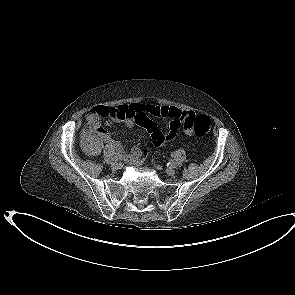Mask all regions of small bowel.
I'll use <instances>...</instances> for the list:
<instances>
[{"instance_id": "1", "label": "small bowel", "mask_w": 295, "mask_h": 295, "mask_svg": "<svg viewBox=\"0 0 295 295\" xmlns=\"http://www.w3.org/2000/svg\"><path fill=\"white\" fill-rule=\"evenodd\" d=\"M191 115H194V113L181 111L172 106L142 103L94 108L86 116L87 128L84 131V140L90 139L89 145L86 146V152L91 156L98 155L102 150L103 144L106 143L108 148L115 150L123 159L138 162L143 155V151L135 147L130 152H126L122 144L114 141L110 134L101 127L100 119H105V124L108 126L114 122H123L127 127H133L134 125L142 126L151 136L149 147H154L173 141L180 133L181 126L184 125L182 118ZM152 118L167 120V132L164 133ZM184 134L190 135L191 128L185 127Z\"/></svg>"}]
</instances>
